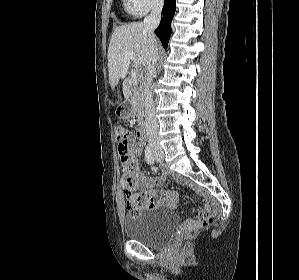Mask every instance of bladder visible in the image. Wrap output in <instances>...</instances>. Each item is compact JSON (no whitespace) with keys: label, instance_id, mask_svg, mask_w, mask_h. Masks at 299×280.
<instances>
[{"label":"bladder","instance_id":"1","mask_svg":"<svg viewBox=\"0 0 299 280\" xmlns=\"http://www.w3.org/2000/svg\"><path fill=\"white\" fill-rule=\"evenodd\" d=\"M177 224L176 216L170 211L152 208L136 217H126L123 229L129 239L157 248L171 239Z\"/></svg>","mask_w":299,"mask_h":280}]
</instances>
